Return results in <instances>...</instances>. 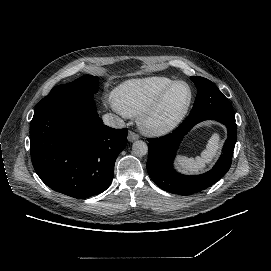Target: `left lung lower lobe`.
I'll return each mask as SVG.
<instances>
[{
  "instance_id": "1",
  "label": "left lung lower lobe",
  "mask_w": 271,
  "mask_h": 271,
  "mask_svg": "<svg viewBox=\"0 0 271 271\" xmlns=\"http://www.w3.org/2000/svg\"><path fill=\"white\" fill-rule=\"evenodd\" d=\"M207 119L219 121L227 127L228 138L224 144L222 155L215 166L202 175L186 176L177 173L173 169V160L181 140L194 125ZM236 139L237 127L234 113L204 111L190 114L171 134L147 139L149 142L148 174L158 187L167 192L179 195L200 192L216 183L228 172Z\"/></svg>"
}]
</instances>
